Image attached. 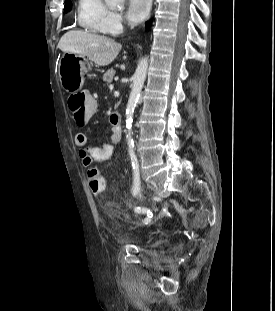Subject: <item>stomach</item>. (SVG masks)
I'll return each mask as SVG.
<instances>
[{"mask_svg":"<svg viewBox=\"0 0 275 311\" xmlns=\"http://www.w3.org/2000/svg\"><path fill=\"white\" fill-rule=\"evenodd\" d=\"M91 69L88 59L76 53H64L59 62L62 87L68 93L78 92L84 84V75Z\"/></svg>","mask_w":275,"mask_h":311,"instance_id":"stomach-1","label":"stomach"}]
</instances>
